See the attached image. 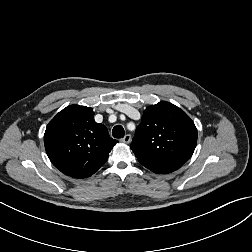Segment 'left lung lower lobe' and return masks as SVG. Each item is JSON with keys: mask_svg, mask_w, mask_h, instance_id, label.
<instances>
[{"mask_svg": "<svg viewBox=\"0 0 252 252\" xmlns=\"http://www.w3.org/2000/svg\"><path fill=\"white\" fill-rule=\"evenodd\" d=\"M140 163L157 174H167L179 169L185 162L174 159L140 161Z\"/></svg>", "mask_w": 252, "mask_h": 252, "instance_id": "0a47b994", "label": "left lung lower lobe"}]
</instances>
